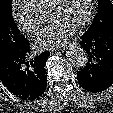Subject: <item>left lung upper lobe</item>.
I'll use <instances>...</instances> for the list:
<instances>
[{"label": "left lung upper lobe", "mask_w": 113, "mask_h": 113, "mask_svg": "<svg viewBox=\"0 0 113 113\" xmlns=\"http://www.w3.org/2000/svg\"><path fill=\"white\" fill-rule=\"evenodd\" d=\"M99 11L94 17L87 33H97L103 29L113 27V4L110 0H98Z\"/></svg>", "instance_id": "1"}]
</instances>
